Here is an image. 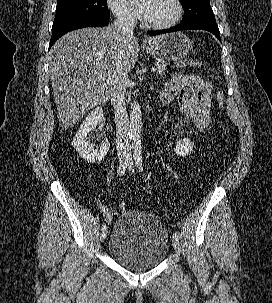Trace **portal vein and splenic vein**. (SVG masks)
Here are the masks:
<instances>
[{"instance_id":"obj_1","label":"portal vein and splenic vein","mask_w":272,"mask_h":303,"mask_svg":"<svg viewBox=\"0 0 272 303\" xmlns=\"http://www.w3.org/2000/svg\"><path fill=\"white\" fill-rule=\"evenodd\" d=\"M156 68L155 67H153V68H151V72H156Z\"/></svg>"}]
</instances>
